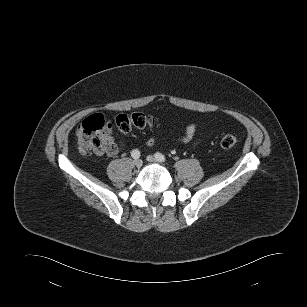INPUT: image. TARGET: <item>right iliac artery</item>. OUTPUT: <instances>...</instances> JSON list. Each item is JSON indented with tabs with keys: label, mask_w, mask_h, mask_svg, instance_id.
Returning <instances> with one entry per match:
<instances>
[{
	"label": "right iliac artery",
	"mask_w": 307,
	"mask_h": 307,
	"mask_svg": "<svg viewBox=\"0 0 307 307\" xmlns=\"http://www.w3.org/2000/svg\"><path fill=\"white\" fill-rule=\"evenodd\" d=\"M131 156L134 158V159H138L140 157V152L138 149H134L132 152H131Z\"/></svg>",
	"instance_id": "right-iliac-artery-1"
}]
</instances>
